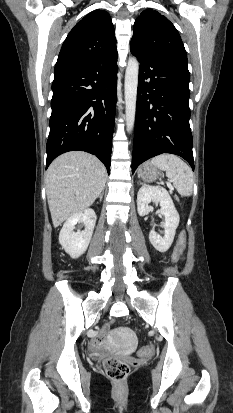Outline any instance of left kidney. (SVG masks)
Instances as JSON below:
<instances>
[{
    "instance_id": "obj_1",
    "label": "left kidney",
    "mask_w": 233,
    "mask_h": 413,
    "mask_svg": "<svg viewBox=\"0 0 233 413\" xmlns=\"http://www.w3.org/2000/svg\"><path fill=\"white\" fill-rule=\"evenodd\" d=\"M151 202L160 204L159 213L164 216L165 222L163 224L164 236L158 235L153 228L149 232V240L156 250L166 252L174 240L180 221L179 214L169 193L164 188L144 185L137 194V210L140 216H145L153 210V207L149 206Z\"/></svg>"
}]
</instances>
